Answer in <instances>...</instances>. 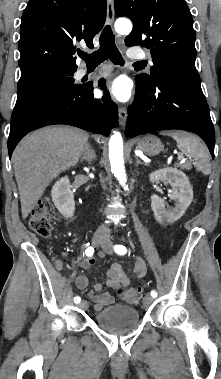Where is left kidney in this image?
Instances as JSON below:
<instances>
[{"mask_svg":"<svg viewBox=\"0 0 221 379\" xmlns=\"http://www.w3.org/2000/svg\"><path fill=\"white\" fill-rule=\"evenodd\" d=\"M150 182L167 181L172 190L169 197L176 201L174 208H166L164 200L157 195L151 196V208L156 221L160 224L172 223L180 219L193 200V190L188 177L176 168H164L149 175Z\"/></svg>","mask_w":221,"mask_h":379,"instance_id":"obj_1","label":"left kidney"}]
</instances>
